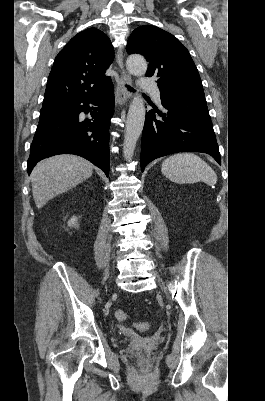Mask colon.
Listing matches in <instances>:
<instances>
[{
    "mask_svg": "<svg viewBox=\"0 0 265 401\" xmlns=\"http://www.w3.org/2000/svg\"><path fill=\"white\" fill-rule=\"evenodd\" d=\"M115 317H116V319L118 320V321H126L127 320V314L124 312V311H122V310H119V311H117L116 312V314H115ZM149 323H147V322H139V323H135V327L138 329V330H140V331H146L148 328H149ZM138 356H139V360H140V362H143V355H142V353H139L138 354Z\"/></svg>",
    "mask_w": 265,
    "mask_h": 401,
    "instance_id": "colon-1",
    "label": "colon"
}]
</instances>
